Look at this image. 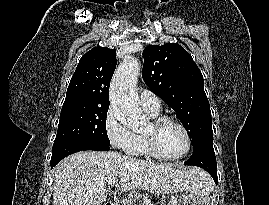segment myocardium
I'll return each instance as SVG.
<instances>
[{"label": "myocardium", "instance_id": "obj_1", "mask_svg": "<svg viewBox=\"0 0 269 205\" xmlns=\"http://www.w3.org/2000/svg\"><path fill=\"white\" fill-rule=\"evenodd\" d=\"M166 123H173L178 126L184 133L187 146L183 153L177 156H167L163 154L157 144V132ZM145 147L148 153L160 160L176 161L184 158L189 154L192 148V138L188 128L177 118L169 115H160L155 117L150 123V130L142 133Z\"/></svg>", "mask_w": 269, "mask_h": 205}]
</instances>
